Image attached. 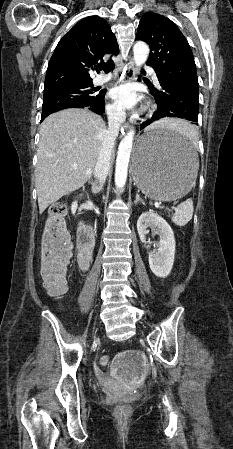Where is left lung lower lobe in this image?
<instances>
[{"instance_id": "1", "label": "left lung lower lobe", "mask_w": 233, "mask_h": 449, "mask_svg": "<svg viewBox=\"0 0 233 449\" xmlns=\"http://www.w3.org/2000/svg\"><path fill=\"white\" fill-rule=\"evenodd\" d=\"M157 78L161 86L160 90H153L155 92L153 94L157 103V111L154 112L151 119L141 125V129L164 117L182 118L198 125V96L163 80L159 76ZM161 138L169 141H180V137L175 135H163Z\"/></svg>"}]
</instances>
